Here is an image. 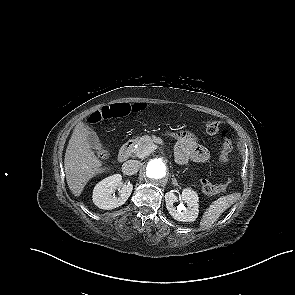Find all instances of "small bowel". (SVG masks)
I'll return each mask as SVG.
<instances>
[{
    "label": "small bowel",
    "instance_id": "obj_1",
    "mask_svg": "<svg viewBox=\"0 0 295 295\" xmlns=\"http://www.w3.org/2000/svg\"><path fill=\"white\" fill-rule=\"evenodd\" d=\"M177 144L175 148L176 161L179 164H185L189 160L204 163L210 154L208 150L191 133L179 132L176 134Z\"/></svg>",
    "mask_w": 295,
    "mask_h": 295
}]
</instances>
